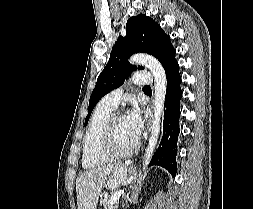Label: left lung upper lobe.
I'll return each instance as SVG.
<instances>
[{"mask_svg": "<svg viewBox=\"0 0 253 209\" xmlns=\"http://www.w3.org/2000/svg\"><path fill=\"white\" fill-rule=\"evenodd\" d=\"M138 52L148 53L156 57L166 71L176 62V51L159 24L146 15L129 18L126 24V36H120L112 48L109 60L97 79L96 86L90 96L88 123L91 112L97 102L107 93L120 87L137 66L128 62L129 57ZM139 69L144 67L139 66Z\"/></svg>", "mask_w": 253, "mask_h": 209, "instance_id": "1", "label": "left lung upper lobe"}]
</instances>
